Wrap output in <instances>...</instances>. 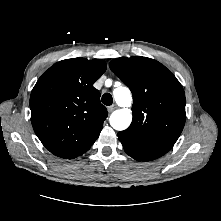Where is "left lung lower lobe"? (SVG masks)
<instances>
[{
    "instance_id": "0a47b994",
    "label": "left lung lower lobe",
    "mask_w": 221,
    "mask_h": 221,
    "mask_svg": "<svg viewBox=\"0 0 221 221\" xmlns=\"http://www.w3.org/2000/svg\"><path fill=\"white\" fill-rule=\"evenodd\" d=\"M122 145L124 146V150L125 152L131 156L132 158L138 160V161H151V160H154L152 158H148V157H145L139 153H136L134 150H132L131 148H129L122 140H120Z\"/></svg>"
}]
</instances>
